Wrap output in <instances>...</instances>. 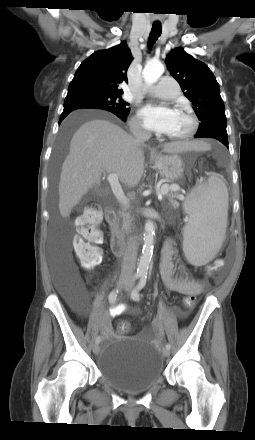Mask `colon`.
<instances>
[{
	"instance_id": "obj_1",
	"label": "colon",
	"mask_w": 255,
	"mask_h": 440,
	"mask_svg": "<svg viewBox=\"0 0 255 440\" xmlns=\"http://www.w3.org/2000/svg\"><path fill=\"white\" fill-rule=\"evenodd\" d=\"M101 213L95 207H88L76 219L77 235L74 238V251L81 264L90 269L99 265L102 259V250L99 247L103 243V233L99 229ZM195 295H189L185 303L191 306L195 303ZM121 329L127 331L129 324L122 323Z\"/></svg>"
}]
</instances>
